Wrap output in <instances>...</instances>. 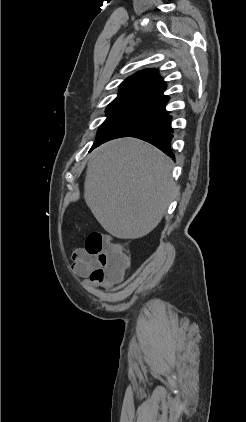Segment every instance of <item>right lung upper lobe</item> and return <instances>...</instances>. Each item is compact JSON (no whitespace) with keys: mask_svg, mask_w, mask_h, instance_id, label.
<instances>
[{"mask_svg":"<svg viewBox=\"0 0 246 422\" xmlns=\"http://www.w3.org/2000/svg\"><path fill=\"white\" fill-rule=\"evenodd\" d=\"M166 84L157 69H145L125 79L110 108L164 110L169 97L163 95Z\"/></svg>","mask_w":246,"mask_h":422,"instance_id":"cb5924a9","label":"right lung upper lobe"}]
</instances>
